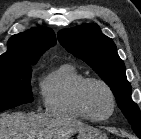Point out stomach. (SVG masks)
I'll use <instances>...</instances> for the list:
<instances>
[{"mask_svg":"<svg viewBox=\"0 0 141 139\" xmlns=\"http://www.w3.org/2000/svg\"><path fill=\"white\" fill-rule=\"evenodd\" d=\"M77 139H107V137L101 131L90 127L79 131Z\"/></svg>","mask_w":141,"mask_h":139,"instance_id":"0dacf381","label":"stomach"}]
</instances>
